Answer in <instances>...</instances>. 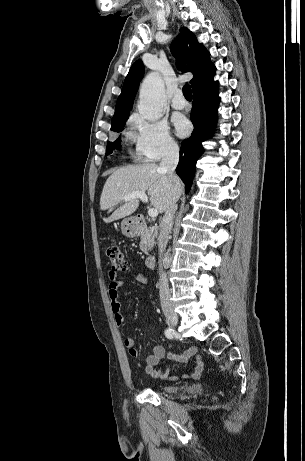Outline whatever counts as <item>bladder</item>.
<instances>
[{
  "label": "bladder",
  "mask_w": 305,
  "mask_h": 461,
  "mask_svg": "<svg viewBox=\"0 0 305 461\" xmlns=\"http://www.w3.org/2000/svg\"><path fill=\"white\" fill-rule=\"evenodd\" d=\"M156 388L162 392H175L177 391L180 387L175 384H167V383H162L158 384Z\"/></svg>",
  "instance_id": "bladder-1"
}]
</instances>
